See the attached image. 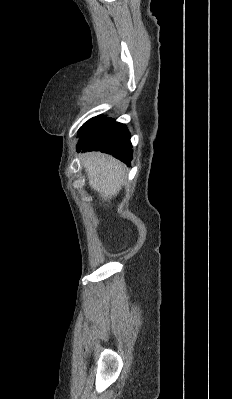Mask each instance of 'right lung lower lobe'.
I'll use <instances>...</instances> for the list:
<instances>
[{
    "label": "right lung lower lobe",
    "mask_w": 232,
    "mask_h": 399,
    "mask_svg": "<svg viewBox=\"0 0 232 399\" xmlns=\"http://www.w3.org/2000/svg\"><path fill=\"white\" fill-rule=\"evenodd\" d=\"M77 151H101L130 165L132 145L129 132L124 124L105 116L87 121L79 130Z\"/></svg>",
    "instance_id": "1"
}]
</instances>
